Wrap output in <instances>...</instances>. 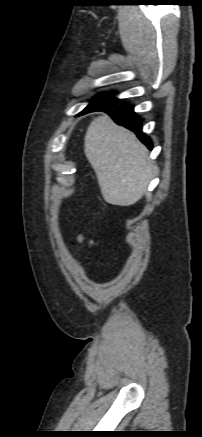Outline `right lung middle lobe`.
I'll list each match as a JSON object with an SVG mask.
<instances>
[{
	"mask_svg": "<svg viewBox=\"0 0 202 437\" xmlns=\"http://www.w3.org/2000/svg\"><path fill=\"white\" fill-rule=\"evenodd\" d=\"M117 99L110 100L108 98H95L81 114L92 112L105 105H115Z\"/></svg>",
	"mask_w": 202,
	"mask_h": 437,
	"instance_id": "obj_1",
	"label": "right lung middle lobe"
}]
</instances>
